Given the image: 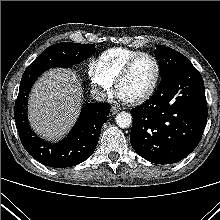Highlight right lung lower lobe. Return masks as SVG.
Returning <instances> with one entry per match:
<instances>
[{
  "label": "right lung lower lobe",
  "mask_w": 220,
  "mask_h": 220,
  "mask_svg": "<svg viewBox=\"0 0 220 220\" xmlns=\"http://www.w3.org/2000/svg\"><path fill=\"white\" fill-rule=\"evenodd\" d=\"M47 69L27 68L21 78L14 108V118L20 140L26 151L40 163L65 168L88 159L94 152L103 123L108 119V103H87L83 106L71 133L62 141L52 144L37 137L27 119V99L35 80Z\"/></svg>",
  "instance_id": "obj_1"
}]
</instances>
